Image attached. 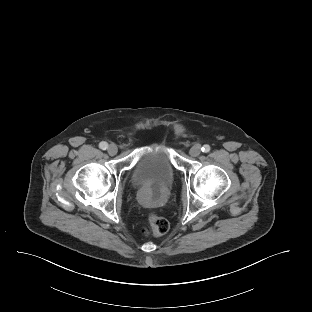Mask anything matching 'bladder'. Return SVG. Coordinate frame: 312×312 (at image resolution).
Masks as SVG:
<instances>
[{
    "instance_id": "obj_1",
    "label": "bladder",
    "mask_w": 312,
    "mask_h": 312,
    "mask_svg": "<svg viewBox=\"0 0 312 312\" xmlns=\"http://www.w3.org/2000/svg\"><path fill=\"white\" fill-rule=\"evenodd\" d=\"M176 177V169L169 153L161 144L151 146L136 162L131 182L137 188L149 187L157 191L169 189Z\"/></svg>"
}]
</instances>
